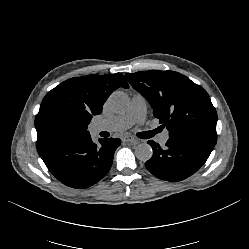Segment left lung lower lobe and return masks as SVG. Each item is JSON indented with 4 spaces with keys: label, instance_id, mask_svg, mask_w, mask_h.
<instances>
[{
    "label": "left lung lower lobe",
    "instance_id": "obj_1",
    "mask_svg": "<svg viewBox=\"0 0 249 249\" xmlns=\"http://www.w3.org/2000/svg\"><path fill=\"white\" fill-rule=\"evenodd\" d=\"M152 157L145 163L146 168L156 177L177 182L194 174L208 159L215 145L186 139L169 138L165 146L150 140Z\"/></svg>",
    "mask_w": 249,
    "mask_h": 249
}]
</instances>
